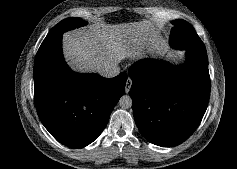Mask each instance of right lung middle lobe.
Segmentation results:
<instances>
[{"instance_id": "dd1d6c3e", "label": "right lung middle lobe", "mask_w": 237, "mask_h": 169, "mask_svg": "<svg viewBox=\"0 0 237 169\" xmlns=\"http://www.w3.org/2000/svg\"><path fill=\"white\" fill-rule=\"evenodd\" d=\"M86 22L81 18H67L55 25L48 33L46 38L62 35L63 32L85 25Z\"/></svg>"}]
</instances>
